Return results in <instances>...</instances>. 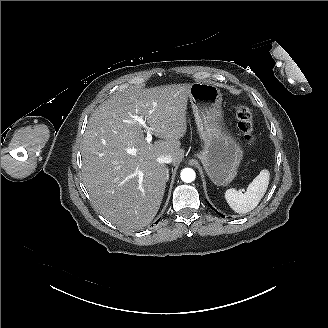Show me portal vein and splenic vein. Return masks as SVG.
Segmentation results:
<instances>
[{"label":"portal vein and splenic vein","instance_id":"1","mask_svg":"<svg viewBox=\"0 0 328 328\" xmlns=\"http://www.w3.org/2000/svg\"><path fill=\"white\" fill-rule=\"evenodd\" d=\"M132 118L137 121V123L141 126V128L144 129L145 133H146V141L147 142H151L152 141V138H153V135H152V132L154 130H156L155 127H151L149 126L145 120L141 117H138L137 115L135 116H132ZM127 153H131V150H127ZM143 177H144V173L139 171L138 173V181L139 182H142L143 181Z\"/></svg>","mask_w":328,"mask_h":328}]
</instances>
